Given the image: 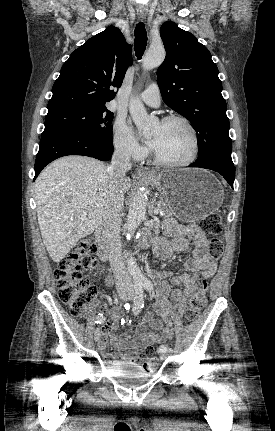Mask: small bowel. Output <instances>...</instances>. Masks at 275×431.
Segmentation results:
<instances>
[{"mask_svg": "<svg viewBox=\"0 0 275 431\" xmlns=\"http://www.w3.org/2000/svg\"><path fill=\"white\" fill-rule=\"evenodd\" d=\"M164 232L171 240L157 238L154 241V251L161 260H169L175 253L187 250L193 244L192 256L186 261L187 272L172 277L173 285H182L183 289H175L172 302L162 299L158 301L151 312H148L143 322L138 326L133 336L117 335L122 320V310L113 308L109 312L110 320L105 325L104 333L99 340L102 354L113 361L136 362L147 348L162 344L172 338L173 324L186 308L187 299L196 290V283L201 276L210 277L216 271V259L207 252L208 240L205 234L195 225L178 224L169 219L164 223ZM111 284V280H107ZM168 292L163 290L162 295ZM114 352L111 353L109 345Z\"/></svg>", "mask_w": 275, "mask_h": 431, "instance_id": "obj_1", "label": "small bowel"}]
</instances>
